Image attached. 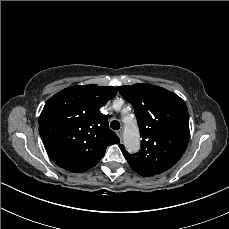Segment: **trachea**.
Instances as JSON below:
<instances>
[{"instance_id":"obj_1","label":"trachea","mask_w":229,"mask_h":229,"mask_svg":"<svg viewBox=\"0 0 229 229\" xmlns=\"http://www.w3.org/2000/svg\"><path fill=\"white\" fill-rule=\"evenodd\" d=\"M110 127L113 129V130H118L120 128V122L118 120H113L111 121L110 123Z\"/></svg>"}]
</instances>
